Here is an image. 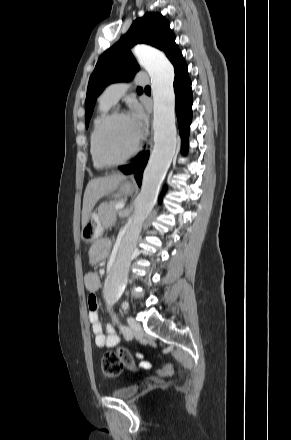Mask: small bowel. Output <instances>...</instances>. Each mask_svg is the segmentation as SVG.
Segmentation results:
<instances>
[{
    "label": "small bowel",
    "instance_id": "small-bowel-1",
    "mask_svg": "<svg viewBox=\"0 0 291 440\" xmlns=\"http://www.w3.org/2000/svg\"><path fill=\"white\" fill-rule=\"evenodd\" d=\"M111 250V242L109 240L97 241L90 249L88 256V263L90 265L96 264L102 258H105ZM85 287L89 293L88 296V309H89V321L92 326V331L95 335V343L99 347H114L119 343V337L115 332L112 325H108L104 328L99 315V301L96 297V292L100 288V278L98 274L90 272L84 277ZM123 309H126L127 305L123 304ZM150 363L141 362L139 364L140 369H149Z\"/></svg>",
    "mask_w": 291,
    "mask_h": 440
}]
</instances>
